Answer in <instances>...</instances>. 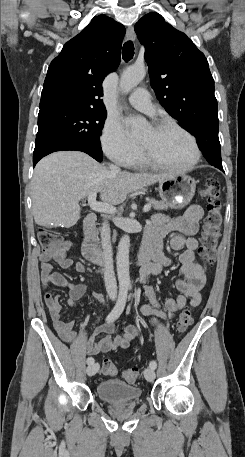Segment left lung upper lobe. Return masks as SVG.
Listing matches in <instances>:
<instances>
[{
  "instance_id": "left-lung-upper-lobe-1",
  "label": "left lung upper lobe",
  "mask_w": 245,
  "mask_h": 457,
  "mask_svg": "<svg viewBox=\"0 0 245 457\" xmlns=\"http://www.w3.org/2000/svg\"><path fill=\"white\" fill-rule=\"evenodd\" d=\"M134 28L145 47L151 86L165 110L190 133L218 124L214 80L204 54L156 12Z\"/></svg>"
}]
</instances>
